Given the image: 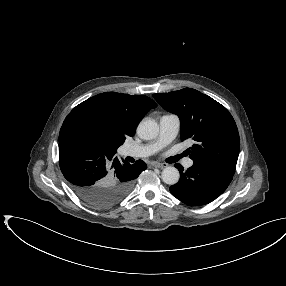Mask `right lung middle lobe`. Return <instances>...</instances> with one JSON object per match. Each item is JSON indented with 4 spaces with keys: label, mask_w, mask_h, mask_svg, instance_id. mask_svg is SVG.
<instances>
[{
    "label": "right lung middle lobe",
    "mask_w": 286,
    "mask_h": 286,
    "mask_svg": "<svg viewBox=\"0 0 286 286\" xmlns=\"http://www.w3.org/2000/svg\"><path fill=\"white\" fill-rule=\"evenodd\" d=\"M78 129L83 133L90 136L93 140L98 142L100 145L104 142V132L94 123L85 119H75L71 121Z\"/></svg>",
    "instance_id": "1"
}]
</instances>
